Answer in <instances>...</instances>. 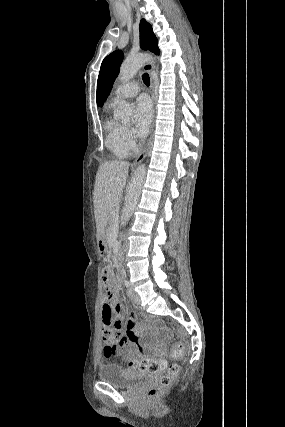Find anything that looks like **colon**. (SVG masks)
I'll list each match as a JSON object with an SVG mask.
<instances>
[{
  "label": "colon",
  "mask_w": 285,
  "mask_h": 427,
  "mask_svg": "<svg viewBox=\"0 0 285 427\" xmlns=\"http://www.w3.org/2000/svg\"><path fill=\"white\" fill-rule=\"evenodd\" d=\"M101 274L103 285L106 289L104 293V304L106 307L113 310L114 307L112 305V301L114 299V285L111 270L104 267ZM102 338L106 343L103 349L104 356L106 358H110L116 350L120 348V329L115 325H104L102 328ZM183 352V343L176 342L169 350V357L171 359H178L183 355ZM129 363L134 368L160 374L158 383L151 386L147 391V398L151 402L156 401L163 393H165L180 373V366L177 363H172L168 366L166 359L140 358L130 360ZM166 369L167 372L164 373Z\"/></svg>",
  "instance_id": "5ec220e1"
}]
</instances>
